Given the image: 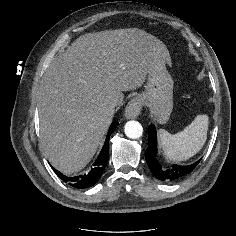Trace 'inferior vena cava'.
Here are the masks:
<instances>
[{
    "label": "inferior vena cava",
    "mask_w": 236,
    "mask_h": 236,
    "mask_svg": "<svg viewBox=\"0 0 236 236\" xmlns=\"http://www.w3.org/2000/svg\"><path fill=\"white\" fill-rule=\"evenodd\" d=\"M115 106H117V104H116V103H112V104L110 105V107H111L112 109H114V108H115Z\"/></svg>",
    "instance_id": "inferior-vena-cava-1"
}]
</instances>
